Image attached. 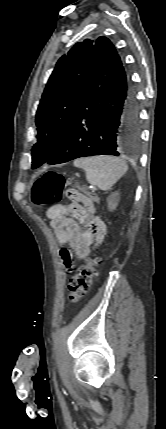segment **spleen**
<instances>
[{
	"label": "spleen",
	"mask_w": 166,
	"mask_h": 429,
	"mask_svg": "<svg viewBox=\"0 0 166 429\" xmlns=\"http://www.w3.org/2000/svg\"><path fill=\"white\" fill-rule=\"evenodd\" d=\"M73 165L84 170L87 181L101 190H109L128 170L125 161L113 156L80 158Z\"/></svg>",
	"instance_id": "1"
}]
</instances>
